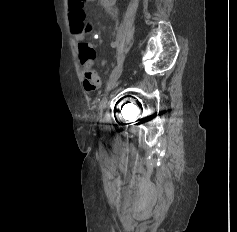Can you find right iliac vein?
Here are the masks:
<instances>
[{
    "label": "right iliac vein",
    "mask_w": 237,
    "mask_h": 232,
    "mask_svg": "<svg viewBox=\"0 0 237 232\" xmlns=\"http://www.w3.org/2000/svg\"><path fill=\"white\" fill-rule=\"evenodd\" d=\"M123 71V65L119 64L112 72L111 76H110V80L106 89V93L103 97V99L100 102V106H99V113L102 114L103 109L106 106L107 103V95L108 92L113 88V86L115 85L116 81L119 79V77L121 76Z\"/></svg>",
    "instance_id": "1"
}]
</instances>
